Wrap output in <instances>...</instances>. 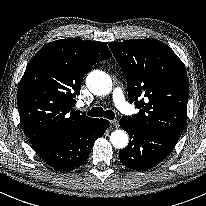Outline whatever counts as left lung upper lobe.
Here are the masks:
<instances>
[{"instance_id": "left-lung-upper-lobe-1", "label": "left lung upper lobe", "mask_w": 206, "mask_h": 206, "mask_svg": "<svg viewBox=\"0 0 206 206\" xmlns=\"http://www.w3.org/2000/svg\"><path fill=\"white\" fill-rule=\"evenodd\" d=\"M127 80L128 98L140 111L133 124L180 138L187 117L188 78L184 64L156 39L109 44Z\"/></svg>"}]
</instances>
